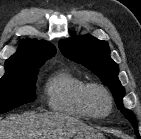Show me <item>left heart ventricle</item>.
<instances>
[{
	"label": "left heart ventricle",
	"mask_w": 141,
	"mask_h": 139,
	"mask_svg": "<svg viewBox=\"0 0 141 139\" xmlns=\"http://www.w3.org/2000/svg\"><path fill=\"white\" fill-rule=\"evenodd\" d=\"M93 100H94V106H95V108H96V110L98 112L103 113V112L106 111V109H107V100L102 94L96 93L94 95Z\"/></svg>",
	"instance_id": "obj_1"
}]
</instances>
